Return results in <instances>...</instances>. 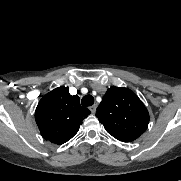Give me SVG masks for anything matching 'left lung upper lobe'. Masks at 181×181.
<instances>
[{"mask_svg": "<svg viewBox=\"0 0 181 181\" xmlns=\"http://www.w3.org/2000/svg\"><path fill=\"white\" fill-rule=\"evenodd\" d=\"M96 116L105 130L122 142H132L145 132L149 113L139 97L125 87H110L97 108Z\"/></svg>", "mask_w": 181, "mask_h": 181, "instance_id": "obj_1", "label": "left lung upper lobe"}]
</instances>
